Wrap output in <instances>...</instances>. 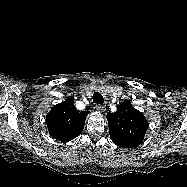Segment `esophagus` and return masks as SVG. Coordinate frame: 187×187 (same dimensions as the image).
I'll use <instances>...</instances> for the list:
<instances>
[{"instance_id":"1","label":"esophagus","mask_w":187,"mask_h":187,"mask_svg":"<svg viewBox=\"0 0 187 187\" xmlns=\"http://www.w3.org/2000/svg\"><path fill=\"white\" fill-rule=\"evenodd\" d=\"M96 109L99 111V112H104L106 110V107L103 106V105H97L96 106Z\"/></svg>"}]
</instances>
